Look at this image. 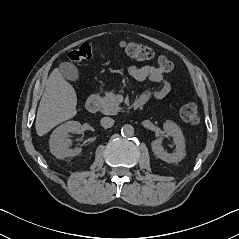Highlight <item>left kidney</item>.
<instances>
[{
    "mask_svg": "<svg viewBox=\"0 0 239 239\" xmlns=\"http://www.w3.org/2000/svg\"><path fill=\"white\" fill-rule=\"evenodd\" d=\"M163 129L167 136L173 137L174 144L176 145L174 153H168L164 150L162 146V139H156L152 141V150L157 158L167 162V163H177L180 162L186 155L185 153V139L180 127L172 122L166 121L163 124Z\"/></svg>",
    "mask_w": 239,
    "mask_h": 239,
    "instance_id": "left-kidney-1",
    "label": "left kidney"
}]
</instances>
